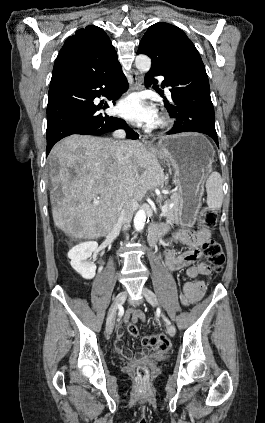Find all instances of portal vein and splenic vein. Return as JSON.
Instances as JSON below:
<instances>
[{
	"instance_id": "18ae733b",
	"label": "portal vein and splenic vein",
	"mask_w": 265,
	"mask_h": 423,
	"mask_svg": "<svg viewBox=\"0 0 265 423\" xmlns=\"http://www.w3.org/2000/svg\"><path fill=\"white\" fill-rule=\"evenodd\" d=\"M99 203L100 202H99L98 199L93 200V204L94 205H99ZM167 210H168V207L166 205H162V207H161L162 213L165 214Z\"/></svg>"
}]
</instances>
